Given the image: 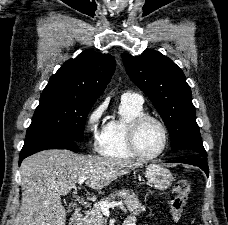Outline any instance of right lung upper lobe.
I'll list each match as a JSON object with an SVG mask.
<instances>
[{"label":"right lung upper lobe","mask_w":228,"mask_h":225,"mask_svg":"<svg viewBox=\"0 0 228 225\" xmlns=\"http://www.w3.org/2000/svg\"><path fill=\"white\" fill-rule=\"evenodd\" d=\"M115 71L110 54L85 50L75 59L66 61L52 75L45 90H58L82 99L96 101Z\"/></svg>","instance_id":"cb5924a9"}]
</instances>
